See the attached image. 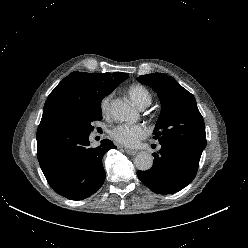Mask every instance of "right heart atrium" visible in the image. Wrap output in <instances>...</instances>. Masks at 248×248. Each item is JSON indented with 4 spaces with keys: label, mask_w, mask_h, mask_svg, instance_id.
Here are the masks:
<instances>
[{
    "label": "right heart atrium",
    "mask_w": 248,
    "mask_h": 248,
    "mask_svg": "<svg viewBox=\"0 0 248 248\" xmlns=\"http://www.w3.org/2000/svg\"><path fill=\"white\" fill-rule=\"evenodd\" d=\"M110 104H111V95H107L102 99L100 104V109L103 115H108L110 110Z\"/></svg>",
    "instance_id": "obj_1"
}]
</instances>
